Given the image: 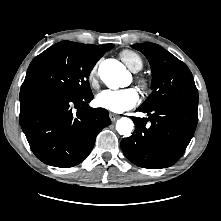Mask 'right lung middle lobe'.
Instances as JSON below:
<instances>
[{"mask_svg":"<svg viewBox=\"0 0 221 221\" xmlns=\"http://www.w3.org/2000/svg\"><path fill=\"white\" fill-rule=\"evenodd\" d=\"M100 58L77 43L59 42L32 60L21 90L49 89L70 97L90 94L88 78Z\"/></svg>","mask_w":221,"mask_h":221,"instance_id":"obj_1","label":"right lung middle lobe"}]
</instances>
